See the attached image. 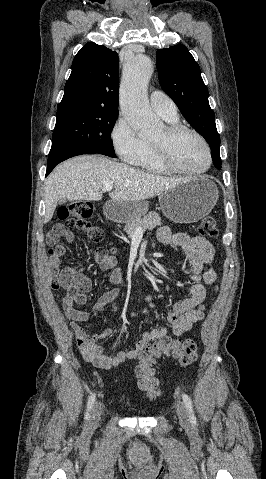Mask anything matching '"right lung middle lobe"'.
<instances>
[{
    "label": "right lung middle lobe",
    "instance_id": "dd1d6c3e",
    "mask_svg": "<svg viewBox=\"0 0 266 479\" xmlns=\"http://www.w3.org/2000/svg\"><path fill=\"white\" fill-rule=\"evenodd\" d=\"M56 117L51 149L62 147L115 157L111 131L118 112H66Z\"/></svg>",
    "mask_w": 266,
    "mask_h": 479
}]
</instances>
